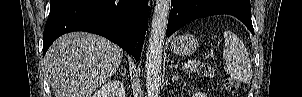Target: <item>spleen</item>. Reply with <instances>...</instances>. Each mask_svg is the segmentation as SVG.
<instances>
[{"mask_svg":"<svg viewBox=\"0 0 302 97\" xmlns=\"http://www.w3.org/2000/svg\"><path fill=\"white\" fill-rule=\"evenodd\" d=\"M225 45L223 56L227 62L226 72L234 79L249 83L252 79V67L247 49L239 37L231 31H224Z\"/></svg>","mask_w":302,"mask_h":97,"instance_id":"3e777b00","label":"spleen"}]
</instances>
